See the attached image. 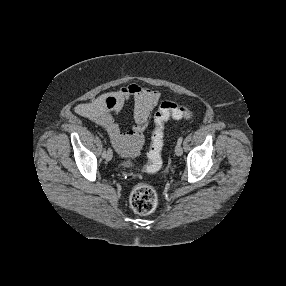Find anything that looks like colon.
<instances>
[{
    "label": "colon",
    "mask_w": 286,
    "mask_h": 286,
    "mask_svg": "<svg viewBox=\"0 0 286 286\" xmlns=\"http://www.w3.org/2000/svg\"><path fill=\"white\" fill-rule=\"evenodd\" d=\"M192 112L185 105L164 101L154 117V129L152 132L151 145L148 151V172H156L162 165V149L164 139V125L170 118L190 119ZM131 208L138 214L152 213L158 205L156 191L149 184L140 183L131 191L129 198Z\"/></svg>",
    "instance_id": "colon-1"
}]
</instances>
